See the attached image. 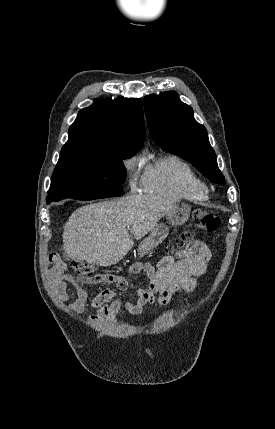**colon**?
<instances>
[{"label": "colon", "mask_w": 275, "mask_h": 429, "mask_svg": "<svg viewBox=\"0 0 275 429\" xmlns=\"http://www.w3.org/2000/svg\"><path fill=\"white\" fill-rule=\"evenodd\" d=\"M193 224L196 229L215 232L220 226L219 218L209 210L203 208H197L193 212ZM193 233L185 232L175 242V244L169 247V251H173L179 248H184L190 245L193 241ZM53 260H57L58 256L53 255ZM71 265L78 273L85 278H95L99 275L95 274V266L91 262L82 260H71Z\"/></svg>", "instance_id": "colon-1"}]
</instances>
